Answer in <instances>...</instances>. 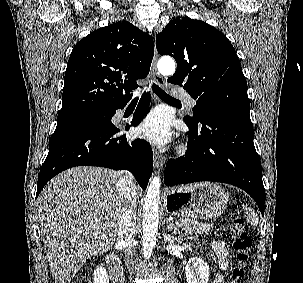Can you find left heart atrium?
<instances>
[{
	"mask_svg": "<svg viewBox=\"0 0 303 283\" xmlns=\"http://www.w3.org/2000/svg\"><path fill=\"white\" fill-rule=\"evenodd\" d=\"M136 132L154 143H166L171 137L169 118L160 110L152 111L142 120Z\"/></svg>",
	"mask_w": 303,
	"mask_h": 283,
	"instance_id": "1",
	"label": "left heart atrium"
}]
</instances>
